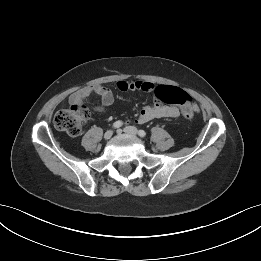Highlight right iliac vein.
Listing matches in <instances>:
<instances>
[{
	"label": "right iliac vein",
	"instance_id": "63e3f726",
	"mask_svg": "<svg viewBox=\"0 0 261 261\" xmlns=\"http://www.w3.org/2000/svg\"><path fill=\"white\" fill-rule=\"evenodd\" d=\"M112 135H113V131L112 130H108L107 132H105L104 138L106 140H108V139H110L112 137Z\"/></svg>",
	"mask_w": 261,
	"mask_h": 261
}]
</instances>
